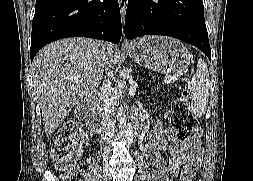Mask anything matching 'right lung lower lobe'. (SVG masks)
Masks as SVG:
<instances>
[{
    "instance_id": "right-lung-lower-lobe-1",
    "label": "right lung lower lobe",
    "mask_w": 253,
    "mask_h": 181,
    "mask_svg": "<svg viewBox=\"0 0 253 181\" xmlns=\"http://www.w3.org/2000/svg\"><path fill=\"white\" fill-rule=\"evenodd\" d=\"M121 17L117 0H36L30 55L58 39L82 36L118 43Z\"/></svg>"
}]
</instances>
